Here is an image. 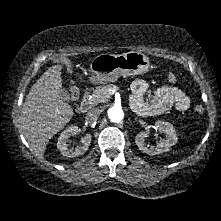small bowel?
Wrapping results in <instances>:
<instances>
[{"label":"small bowel","instance_id":"1","mask_svg":"<svg viewBox=\"0 0 221 221\" xmlns=\"http://www.w3.org/2000/svg\"><path fill=\"white\" fill-rule=\"evenodd\" d=\"M132 96L130 103L139 114H161L172 107L179 111H186L190 107L189 97L179 88L162 85L153 90L152 99L149 103L143 100V96L150 90V85L144 80H136L132 83Z\"/></svg>","mask_w":221,"mask_h":221}]
</instances>
